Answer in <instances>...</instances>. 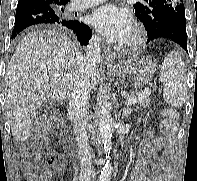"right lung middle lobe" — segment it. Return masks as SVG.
<instances>
[{
  "label": "right lung middle lobe",
  "mask_w": 197,
  "mask_h": 181,
  "mask_svg": "<svg viewBox=\"0 0 197 181\" xmlns=\"http://www.w3.org/2000/svg\"><path fill=\"white\" fill-rule=\"evenodd\" d=\"M54 8V10L60 14L62 16L64 10H63V6L62 5H57V6H52Z\"/></svg>",
  "instance_id": "obj_1"
}]
</instances>
